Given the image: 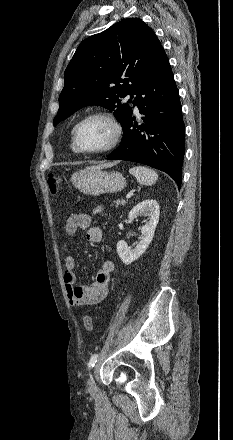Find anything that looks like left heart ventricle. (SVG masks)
<instances>
[{
	"mask_svg": "<svg viewBox=\"0 0 233 440\" xmlns=\"http://www.w3.org/2000/svg\"><path fill=\"white\" fill-rule=\"evenodd\" d=\"M111 126L102 119H90L83 123L78 131V144L86 150H95L106 146L112 138Z\"/></svg>",
	"mask_w": 233,
	"mask_h": 440,
	"instance_id": "1",
	"label": "left heart ventricle"
}]
</instances>
